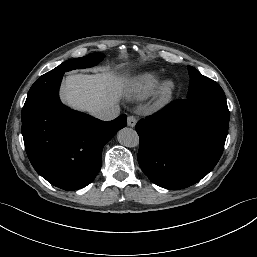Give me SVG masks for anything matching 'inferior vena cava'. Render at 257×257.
<instances>
[{
  "mask_svg": "<svg viewBox=\"0 0 257 257\" xmlns=\"http://www.w3.org/2000/svg\"><path fill=\"white\" fill-rule=\"evenodd\" d=\"M120 108L118 105L99 107L92 111V115L103 121H110L119 116Z\"/></svg>",
  "mask_w": 257,
  "mask_h": 257,
  "instance_id": "1",
  "label": "inferior vena cava"
}]
</instances>
